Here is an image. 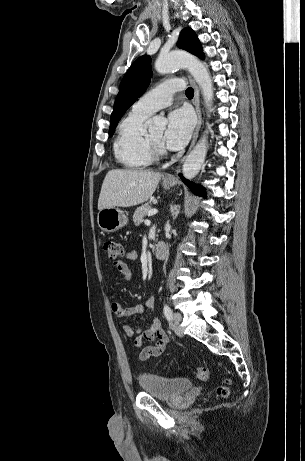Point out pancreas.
Wrapping results in <instances>:
<instances>
[{
  "label": "pancreas",
  "instance_id": "obj_1",
  "mask_svg": "<svg viewBox=\"0 0 305 461\" xmlns=\"http://www.w3.org/2000/svg\"><path fill=\"white\" fill-rule=\"evenodd\" d=\"M152 207L150 206V203H145L142 206H139L134 214H133V221L136 226L141 224L144 220V217L148 214L149 210H151Z\"/></svg>",
  "mask_w": 305,
  "mask_h": 461
}]
</instances>
